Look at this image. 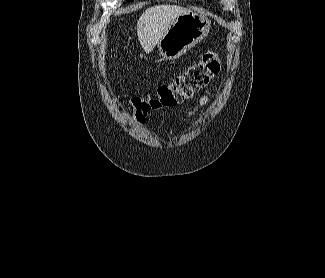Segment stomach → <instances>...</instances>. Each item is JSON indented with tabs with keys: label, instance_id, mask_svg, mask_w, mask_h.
I'll return each instance as SVG.
<instances>
[{
	"label": "stomach",
	"instance_id": "1",
	"mask_svg": "<svg viewBox=\"0 0 325 278\" xmlns=\"http://www.w3.org/2000/svg\"><path fill=\"white\" fill-rule=\"evenodd\" d=\"M211 23L203 15L189 12L180 15L157 43L160 55L165 60H175L205 39Z\"/></svg>",
	"mask_w": 325,
	"mask_h": 278
}]
</instances>
